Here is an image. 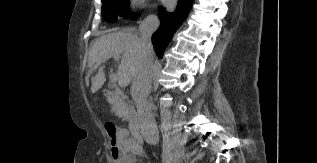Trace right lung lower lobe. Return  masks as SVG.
Instances as JSON below:
<instances>
[{
	"label": "right lung lower lobe",
	"mask_w": 317,
	"mask_h": 163,
	"mask_svg": "<svg viewBox=\"0 0 317 163\" xmlns=\"http://www.w3.org/2000/svg\"><path fill=\"white\" fill-rule=\"evenodd\" d=\"M192 3L193 0H178V6L174 12H168L165 9L159 11L160 27L152 36L153 46L159 58H162L173 34L185 20Z\"/></svg>",
	"instance_id": "obj_1"
}]
</instances>
